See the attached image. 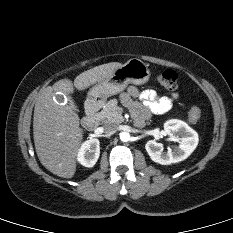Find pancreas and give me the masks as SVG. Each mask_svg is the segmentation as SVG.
<instances>
[{
	"mask_svg": "<svg viewBox=\"0 0 233 233\" xmlns=\"http://www.w3.org/2000/svg\"><path fill=\"white\" fill-rule=\"evenodd\" d=\"M97 115L105 123L119 124L124 121L122 110L118 107L116 99L108 101Z\"/></svg>",
	"mask_w": 233,
	"mask_h": 233,
	"instance_id": "pancreas-1",
	"label": "pancreas"
}]
</instances>
